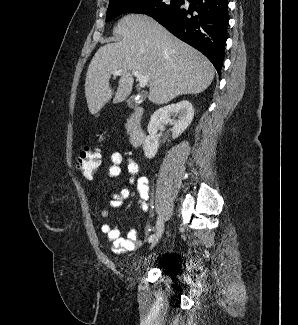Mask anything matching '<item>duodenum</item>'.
<instances>
[{"instance_id": "obj_1", "label": "duodenum", "mask_w": 298, "mask_h": 325, "mask_svg": "<svg viewBox=\"0 0 298 325\" xmlns=\"http://www.w3.org/2000/svg\"><path fill=\"white\" fill-rule=\"evenodd\" d=\"M143 116V109L141 107H135L128 119L129 141L135 148L140 147L145 140Z\"/></svg>"}]
</instances>
